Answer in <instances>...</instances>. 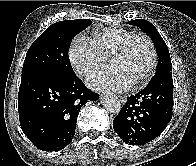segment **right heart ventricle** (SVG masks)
<instances>
[{"label": "right heart ventricle", "instance_id": "1", "mask_svg": "<svg viewBox=\"0 0 196 166\" xmlns=\"http://www.w3.org/2000/svg\"><path fill=\"white\" fill-rule=\"evenodd\" d=\"M133 33L129 29L106 27L95 30L89 40L105 58H110L122 42Z\"/></svg>", "mask_w": 196, "mask_h": 166}]
</instances>
